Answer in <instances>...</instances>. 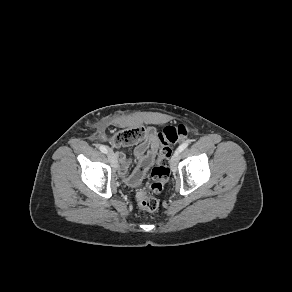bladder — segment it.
I'll return each instance as SVG.
<instances>
[{"label": "bladder", "instance_id": "1", "mask_svg": "<svg viewBox=\"0 0 292 292\" xmlns=\"http://www.w3.org/2000/svg\"><path fill=\"white\" fill-rule=\"evenodd\" d=\"M127 184H128L129 186H131V187H136V186L139 185V182L133 181L132 179L129 178V179L127 180Z\"/></svg>", "mask_w": 292, "mask_h": 292}]
</instances>
